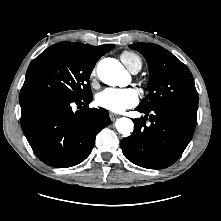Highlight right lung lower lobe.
<instances>
[{
    "instance_id": "98d812e1",
    "label": "right lung lower lobe",
    "mask_w": 221,
    "mask_h": 221,
    "mask_svg": "<svg viewBox=\"0 0 221 221\" xmlns=\"http://www.w3.org/2000/svg\"><path fill=\"white\" fill-rule=\"evenodd\" d=\"M92 99L90 95L72 100L49 92L20 94L21 126L42 162L67 168L89 156L96 135L111 123L106 109L88 107ZM73 103L81 109L73 112Z\"/></svg>"
}]
</instances>
